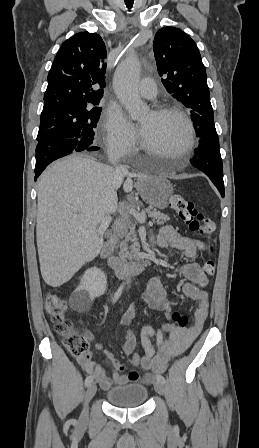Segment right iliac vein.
Listing matches in <instances>:
<instances>
[{
    "instance_id": "63e3f726",
    "label": "right iliac vein",
    "mask_w": 259,
    "mask_h": 448,
    "mask_svg": "<svg viewBox=\"0 0 259 448\" xmlns=\"http://www.w3.org/2000/svg\"><path fill=\"white\" fill-rule=\"evenodd\" d=\"M96 391H97L96 384H94V383L90 384L88 389H87V391H86L85 404H84V408H83V411L81 413L80 420H79L80 424L87 423V420H88V404H89L90 400L96 394Z\"/></svg>"
}]
</instances>
